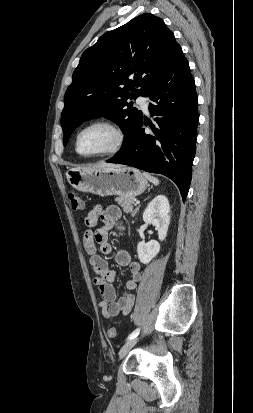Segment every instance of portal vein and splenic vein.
<instances>
[{
    "label": "portal vein and splenic vein",
    "instance_id": "portal-vein-and-splenic-vein-1",
    "mask_svg": "<svg viewBox=\"0 0 253 413\" xmlns=\"http://www.w3.org/2000/svg\"><path fill=\"white\" fill-rule=\"evenodd\" d=\"M134 202H136V204H137V203H139V201H138V200H136V199H134Z\"/></svg>",
    "mask_w": 253,
    "mask_h": 413
}]
</instances>
